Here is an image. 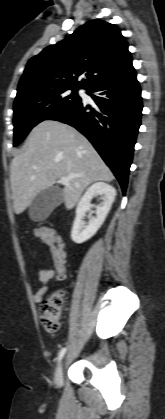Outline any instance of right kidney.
Listing matches in <instances>:
<instances>
[{"label":"right kidney","mask_w":165,"mask_h":419,"mask_svg":"<svg viewBox=\"0 0 165 419\" xmlns=\"http://www.w3.org/2000/svg\"><path fill=\"white\" fill-rule=\"evenodd\" d=\"M95 195L102 196V204L96 208V217L88 225L83 222L87 210L92 207L91 200ZM116 197V190L105 182L92 184L84 193L76 208V217L73 223L71 238L75 243H83L90 239L105 221Z\"/></svg>","instance_id":"obj_1"}]
</instances>
